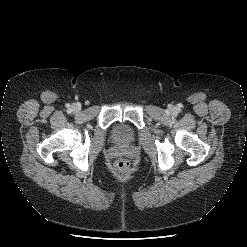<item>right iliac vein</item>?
<instances>
[{
	"instance_id": "1",
	"label": "right iliac vein",
	"mask_w": 247,
	"mask_h": 247,
	"mask_svg": "<svg viewBox=\"0 0 247 247\" xmlns=\"http://www.w3.org/2000/svg\"><path fill=\"white\" fill-rule=\"evenodd\" d=\"M74 109H75V110H78V108H77L76 106L74 107Z\"/></svg>"
}]
</instances>
